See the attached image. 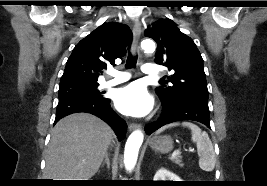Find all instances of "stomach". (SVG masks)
Wrapping results in <instances>:
<instances>
[{
  "label": "stomach",
  "instance_id": "1",
  "mask_svg": "<svg viewBox=\"0 0 267 186\" xmlns=\"http://www.w3.org/2000/svg\"><path fill=\"white\" fill-rule=\"evenodd\" d=\"M149 146L155 151L168 153L173 149V140L170 136L153 137Z\"/></svg>",
  "mask_w": 267,
  "mask_h": 186
}]
</instances>
